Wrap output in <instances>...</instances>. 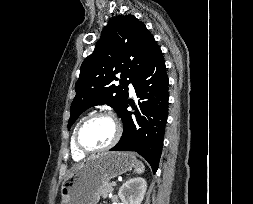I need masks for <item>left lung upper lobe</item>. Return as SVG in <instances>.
Here are the masks:
<instances>
[{"mask_svg": "<svg viewBox=\"0 0 253 204\" xmlns=\"http://www.w3.org/2000/svg\"><path fill=\"white\" fill-rule=\"evenodd\" d=\"M155 44L152 34L135 16L112 18L93 53L81 65L68 129L94 105L107 104L120 114L127 101L128 84L138 76ZM117 74L121 76L118 87L111 84L118 80Z\"/></svg>", "mask_w": 253, "mask_h": 204, "instance_id": "1", "label": "left lung upper lobe"}]
</instances>
